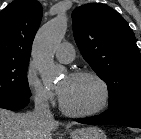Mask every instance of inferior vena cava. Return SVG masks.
I'll return each mask as SVG.
<instances>
[{
    "label": "inferior vena cava",
    "mask_w": 141,
    "mask_h": 139,
    "mask_svg": "<svg viewBox=\"0 0 141 139\" xmlns=\"http://www.w3.org/2000/svg\"><path fill=\"white\" fill-rule=\"evenodd\" d=\"M33 113L35 118L40 122H48L54 119L46 97L41 94L35 97V109Z\"/></svg>",
    "instance_id": "inferior-vena-cava-1"
}]
</instances>
